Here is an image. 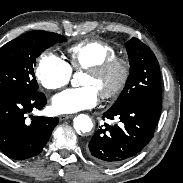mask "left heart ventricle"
Wrapping results in <instances>:
<instances>
[{
    "mask_svg": "<svg viewBox=\"0 0 183 183\" xmlns=\"http://www.w3.org/2000/svg\"><path fill=\"white\" fill-rule=\"evenodd\" d=\"M119 77H120L119 68H115L109 73L102 75L100 77H95L88 73H85L81 80V85L91 86L100 94L101 92L111 89L117 83Z\"/></svg>",
    "mask_w": 183,
    "mask_h": 183,
    "instance_id": "obj_1",
    "label": "left heart ventricle"
}]
</instances>
